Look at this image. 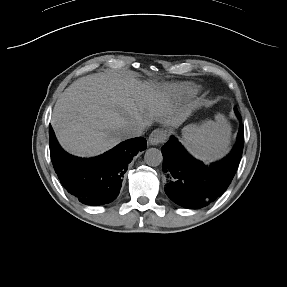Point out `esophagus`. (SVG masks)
<instances>
[{"label":"esophagus","mask_w":287,"mask_h":287,"mask_svg":"<svg viewBox=\"0 0 287 287\" xmlns=\"http://www.w3.org/2000/svg\"><path fill=\"white\" fill-rule=\"evenodd\" d=\"M167 138V132L164 129H155L149 136V143L153 146L163 144Z\"/></svg>","instance_id":"34e87169"}]
</instances>
